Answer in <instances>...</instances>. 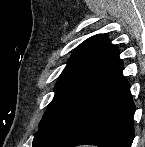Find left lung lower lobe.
Returning <instances> with one entry per match:
<instances>
[{
  "instance_id": "obj_1",
  "label": "left lung lower lobe",
  "mask_w": 145,
  "mask_h": 147,
  "mask_svg": "<svg viewBox=\"0 0 145 147\" xmlns=\"http://www.w3.org/2000/svg\"><path fill=\"white\" fill-rule=\"evenodd\" d=\"M116 48L89 87L62 135L43 147H131L135 105Z\"/></svg>"
}]
</instances>
